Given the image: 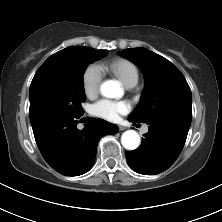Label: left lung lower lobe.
I'll use <instances>...</instances> for the list:
<instances>
[{
  "label": "left lung lower lobe",
  "instance_id": "left-lung-lower-lobe-1",
  "mask_svg": "<svg viewBox=\"0 0 222 222\" xmlns=\"http://www.w3.org/2000/svg\"><path fill=\"white\" fill-rule=\"evenodd\" d=\"M129 121L137 122L132 119ZM139 123V122H138ZM148 133L134 151L125 153L130 167L145 175H155L168 169L185 144L190 125L177 117H163L146 122Z\"/></svg>",
  "mask_w": 222,
  "mask_h": 222
}]
</instances>
